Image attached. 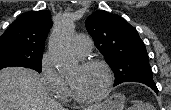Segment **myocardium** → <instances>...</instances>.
<instances>
[{"label": "myocardium", "instance_id": "myocardium-1", "mask_svg": "<svg viewBox=\"0 0 171 110\" xmlns=\"http://www.w3.org/2000/svg\"><path fill=\"white\" fill-rule=\"evenodd\" d=\"M93 66L101 67L105 71L106 84H105L103 90L100 93H98L97 95L91 96V97H84V96H80L77 93L73 84L68 80L69 95L77 103L90 104V103L99 101V100L103 99L111 89V86H112L113 80H114L113 71H112L111 67L106 62H104L102 60H97V59L85 60V61L81 62V64H80V67L83 69L93 67Z\"/></svg>", "mask_w": 171, "mask_h": 110}]
</instances>
